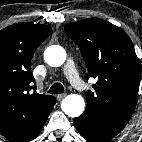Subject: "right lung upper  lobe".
<instances>
[{
    "label": "right lung upper lobe",
    "mask_w": 142,
    "mask_h": 142,
    "mask_svg": "<svg viewBox=\"0 0 142 142\" xmlns=\"http://www.w3.org/2000/svg\"><path fill=\"white\" fill-rule=\"evenodd\" d=\"M51 34L43 24L22 23L0 31V133L12 142H28L40 133L56 100L36 90L30 64Z\"/></svg>",
    "instance_id": "obj_1"
}]
</instances>
